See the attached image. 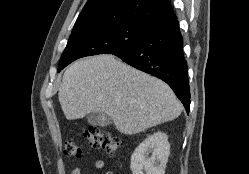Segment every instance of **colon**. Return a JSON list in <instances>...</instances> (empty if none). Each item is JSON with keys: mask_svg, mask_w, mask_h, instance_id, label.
Here are the masks:
<instances>
[{"mask_svg": "<svg viewBox=\"0 0 249 174\" xmlns=\"http://www.w3.org/2000/svg\"><path fill=\"white\" fill-rule=\"evenodd\" d=\"M83 137L88 141L93 149H104L108 154L115 155L121 150V139L105 130L92 126L87 128ZM64 153L70 157H80L81 148L73 139L65 142Z\"/></svg>", "mask_w": 249, "mask_h": 174, "instance_id": "5ec220e1", "label": "colon"}]
</instances>
